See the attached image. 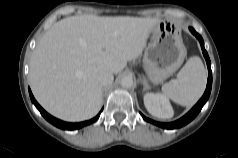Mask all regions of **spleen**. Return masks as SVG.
<instances>
[{"mask_svg":"<svg viewBox=\"0 0 238 158\" xmlns=\"http://www.w3.org/2000/svg\"><path fill=\"white\" fill-rule=\"evenodd\" d=\"M206 71L198 56L191 57L177 74V79L162 86L164 96L182 106H192L206 86Z\"/></svg>","mask_w":238,"mask_h":158,"instance_id":"3e777b00","label":"spleen"}]
</instances>
